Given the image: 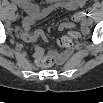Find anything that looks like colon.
I'll use <instances>...</instances> for the list:
<instances>
[{"instance_id": "colon-1", "label": "colon", "mask_w": 103, "mask_h": 103, "mask_svg": "<svg viewBox=\"0 0 103 103\" xmlns=\"http://www.w3.org/2000/svg\"><path fill=\"white\" fill-rule=\"evenodd\" d=\"M77 36V33L70 32L58 39L57 45L59 48L64 50V52L69 51L72 48L74 40ZM55 61L60 62V57L55 54H45L37 58L36 64L41 68H50L53 66Z\"/></svg>"}]
</instances>
